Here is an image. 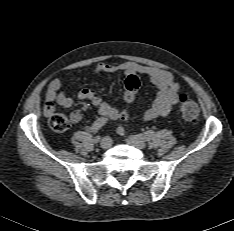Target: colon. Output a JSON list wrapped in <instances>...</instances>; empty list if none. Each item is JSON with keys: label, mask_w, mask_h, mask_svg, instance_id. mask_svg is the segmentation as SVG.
I'll list each match as a JSON object with an SVG mask.
<instances>
[{"label": "colon", "mask_w": 234, "mask_h": 231, "mask_svg": "<svg viewBox=\"0 0 234 231\" xmlns=\"http://www.w3.org/2000/svg\"><path fill=\"white\" fill-rule=\"evenodd\" d=\"M141 85V77L136 74H130L127 76L124 83V101L126 104H131L136 96V93ZM179 108L182 116L186 120H194L199 115V106L197 102L189 97L187 94H180L178 98ZM127 111L120 113L122 120L127 119ZM49 124L51 128L56 132H64L70 127V121L66 115L61 113H55L50 116Z\"/></svg>", "instance_id": "obj_1"}]
</instances>
